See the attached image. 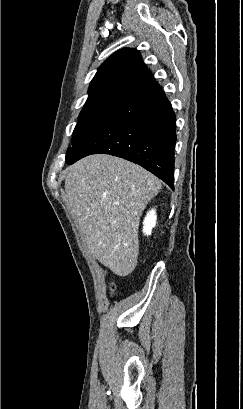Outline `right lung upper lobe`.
<instances>
[{
  "mask_svg": "<svg viewBox=\"0 0 243 409\" xmlns=\"http://www.w3.org/2000/svg\"><path fill=\"white\" fill-rule=\"evenodd\" d=\"M154 82L139 51L123 48L107 58L98 68L89 86L86 102L125 100Z\"/></svg>",
  "mask_w": 243,
  "mask_h": 409,
  "instance_id": "obj_1",
  "label": "right lung upper lobe"
}]
</instances>
